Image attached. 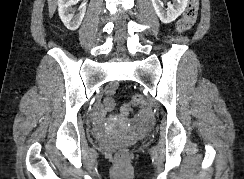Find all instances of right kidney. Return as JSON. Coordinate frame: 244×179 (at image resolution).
I'll return each instance as SVG.
<instances>
[{
  "label": "right kidney",
  "instance_id": "ca27d5eb",
  "mask_svg": "<svg viewBox=\"0 0 244 179\" xmlns=\"http://www.w3.org/2000/svg\"><path fill=\"white\" fill-rule=\"evenodd\" d=\"M78 2H80V0H58L59 16L64 26H66L68 30H72V32L78 30L79 26H81L86 12V4L83 2L78 10L79 14H75V10H73L72 6H75Z\"/></svg>",
  "mask_w": 244,
  "mask_h": 179
}]
</instances>
